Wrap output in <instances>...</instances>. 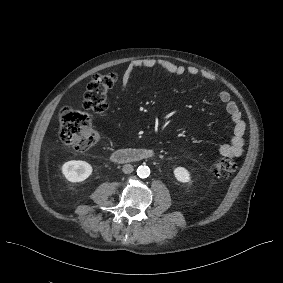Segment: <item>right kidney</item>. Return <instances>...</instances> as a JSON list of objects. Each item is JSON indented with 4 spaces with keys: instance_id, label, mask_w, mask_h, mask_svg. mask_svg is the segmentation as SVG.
Masks as SVG:
<instances>
[{
    "instance_id": "obj_1",
    "label": "right kidney",
    "mask_w": 283,
    "mask_h": 283,
    "mask_svg": "<svg viewBox=\"0 0 283 283\" xmlns=\"http://www.w3.org/2000/svg\"><path fill=\"white\" fill-rule=\"evenodd\" d=\"M62 173L70 182H82L92 173V166L82 160H71L63 164Z\"/></svg>"
}]
</instances>
